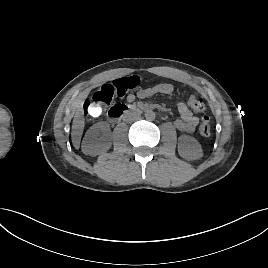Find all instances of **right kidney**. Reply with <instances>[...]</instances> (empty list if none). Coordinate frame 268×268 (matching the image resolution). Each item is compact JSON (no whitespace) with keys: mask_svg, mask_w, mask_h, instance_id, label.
Returning a JSON list of instances; mask_svg holds the SVG:
<instances>
[{"mask_svg":"<svg viewBox=\"0 0 268 268\" xmlns=\"http://www.w3.org/2000/svg\"><path fill=\"white\" fill-rule=\"evenodd\" d=\"M81 147L84 154L91 156L108 151L111 147L110 126L105 122L91 126L83 138Z\"/></svg>","mask_w":268,"mask_h":268,"instance_id":"obj_1","label":"right kidney"}]
</instances>
